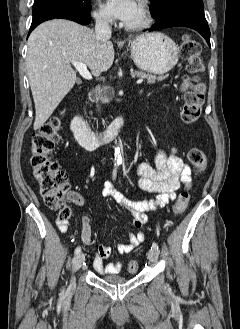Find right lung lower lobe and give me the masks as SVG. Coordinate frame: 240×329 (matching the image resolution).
<instances>
[{"instance_id":"right-lung-lower-lobe-1","label":"right lung lower lobe","mask_w":240,"mask_h":329,"mask_svg":"<svg viewBox=\"0 0 240 329\" xmlns=\"http://www.w3.org/2000/svg\"><path fill=\"white\" fill-rule=\"evenodd\" d=\"M33 19L30 27V32L40 23L54 19L62 18L75 21L82 25H87L91 21L90 13H84L75 10H68L64 8L57 7H39L32 11Z\"/></svg>"}]
</instances>
